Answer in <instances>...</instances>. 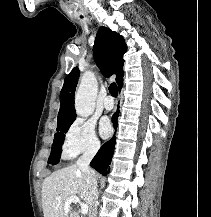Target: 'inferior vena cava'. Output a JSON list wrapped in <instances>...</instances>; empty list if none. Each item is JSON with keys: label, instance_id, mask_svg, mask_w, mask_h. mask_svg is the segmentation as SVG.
<instances>
[{"label": "inferior vena cava", "instance_id": "602c4592", "mask_svg": "<svg viewBox=\"0 0 211 217\" xmlns=\"http://www.w3.org/2000/svg\"><path fill=\"white\" fill-rule=\"evenodd\" d=\"M99 149V145H94L89 148L84 154L77 160V166L83 172L86 178V182L90 195V210L89 217H97V203H98V189L95 173L90 169L89 164Z\"/></svg>", "mask_w": 211, "mask_h": 217}]
</instances>
